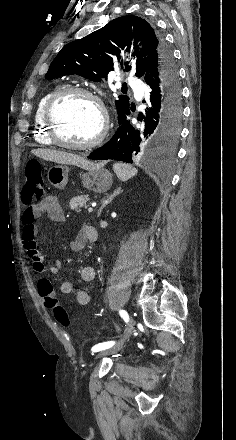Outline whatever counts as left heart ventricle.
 <instances>
[{"label":"left heart ventricle","mask_w":236,"mask_h":440,"mask_svg":"<svg viewBox=\"0 0 236 440\" xmlns=\"http://www.w3.org/2000/svg\"><path fill=\"white\" fill-rule=\"evenodd\" d=\"M53 115L59 137L68 143H86L96 136L100 128L98 108L82 96L63 98L55 107Z\"/></svg>","instance_id":"b2bd125f"}]
</instances>
